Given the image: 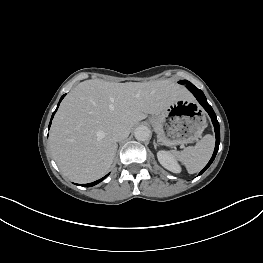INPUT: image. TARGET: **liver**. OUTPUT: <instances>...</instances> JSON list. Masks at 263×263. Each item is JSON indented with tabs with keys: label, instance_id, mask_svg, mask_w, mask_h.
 Here are the masks:
<instances>
[{
	"label": "liver",
	"instance_id": "obj_1",
	"mask_svg": "<svg viewBox=\"0 0 263 263\" xmlns=\"http://www.w3.org/2000/svg\"><path fill=\"white\" fill-rule=\"evenodd\" d=\"M186 98L187 90L169 80L83 81L66 96L53 119L49 136L53 158L71 181H95L113 163L118 147L112 137L115 126L130 131L148 114H158Z\"/></svg>",
	"mask_w": 263,
	"mask_h": 263
}]
</instances>
